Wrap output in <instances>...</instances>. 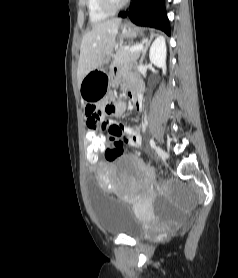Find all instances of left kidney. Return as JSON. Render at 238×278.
Segmentation results:
<instances>
[{
  "label": "left kidney",
  "instance_id": "5707ae66",
  "mask_svg": "<svg viewBox=\"0 0 238 278\" xmlns=\"http://www.w3.org/2000/svg\"><path fill=\"white\" fill-rule=\"evenodd\" d=\"M166 53L165 38L159 36L150 48L149 58L151 63L163 69V73L166 71Z\"/></svg>",
  "mask_w": 238,
  "mask_h": 278
}]
</instances>
